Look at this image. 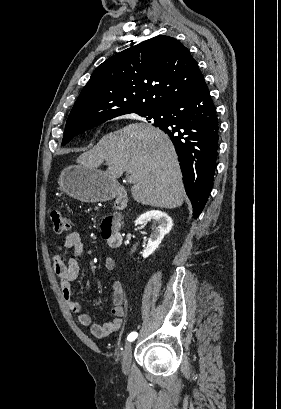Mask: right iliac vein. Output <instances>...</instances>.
I'll return each instance as SVG.
<instances>
[{
	"mask_svg": "<svg viewBox=\"0 0 281 409\" xmlns=\"http://www.w3.org/2000/svg\"><path fill=\"white\" fill-rule=\"evenodd\" d=\"M132 359V345L131 343H127L125 345V350L123 354V369L127 370L130 366Z\"/></svg>",
	"mask_w": 281,
	"mask_h": 409,
	"instance_id": "1",
	"label": "right iliac vein"
}]
</instances>
